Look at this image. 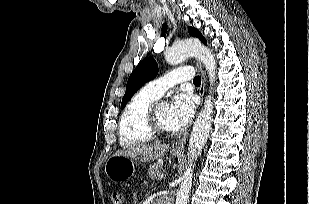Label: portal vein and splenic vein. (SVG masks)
Instances as JSON below:
<instances>
[{"label": "portal vein and splenic vein", "instance_id": "obj_1", "mask_svg": "<svg viewBox=\"0 0 309 204\" xmlns=\"http://www.w3.org/2000/svg\"><path fill=\"white\" fill-rule=\"evenodd\" d=\"M165 175H166L165 173H162L161 178H163Z\"/></svg>", "mask_w": 309, "mask_h": 204}]
</instances>
